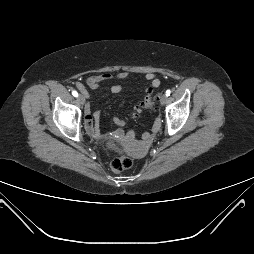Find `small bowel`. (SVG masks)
Instances as JSON below:
<instances>
[{
  "mask_svg": "<svg viewBox=\"0 0 254 254\" xmlns=\"http://www.w3.org/2000/svg\"><path fill=\"white\" fill-rule=\"evenodd\" d=\"M129 77V72L127 71H121L116 74H100V75H94L87 79V86L90 89H97L102 83L109 81V80H123ZM146 80L151 82L153 87H158L160 85V80L157 78V76L154 73H147L145 76ZM76 87L78 90H80L84 95L88 96V92L86 90V87L81 82H76ZM121 85H113L111 87V92L113 94H118L122 91ZM99 118H100V111L97 110L95 112H92L90 103L87 104L85 108V128L87 133L94 138L97 141H104L112 138H126L130 139V135L124 134L121 130H117L110 134H103L101 132L100 124H99ZM114 123L118 126L124 125V121L114 117ZM160 128V120L157 119L153 126V131H158ZM150 139V134L146 133L143 137V143H148Z\"/></svg>",
  "mask_w": 254,
  "mask_h": 254,
  "instance_id": "obj_1",
  "label": "small bowel"
}]
</instances>
